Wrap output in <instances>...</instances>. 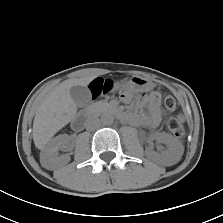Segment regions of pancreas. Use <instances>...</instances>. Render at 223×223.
I'll use <instances>...</instances> for the list:
<instances>
[{
    "label": "pancreas",
    "instance_id": "cf45deb5",
    "mask_svg": "<svg viewBox=\"0 0 223 223\" xmlns=\"http://www.w3.org/2000/svg\"><path fill=\"white\" fill-rule=\"evenodd\" d=\"M109 107L110 105L107 102L99 101V102L93 103L91 109L94 112H102L109 109Z\"/></svg>",
    "mask_w": 223,
    "mask_h": 223
}]
</instances>
